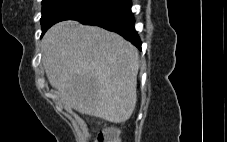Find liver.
I'll return each instance as SVG.
<instances>
[{"label": "liver", "mask_w": 227, "mask_h": 142, "mask_svg": "<svg viewBox=\"0 0 227 142\" xmlns=\"http://www.w3.org/2000/svg\"><path fill=\"white\" fill-rule=\"evenodd\" d=\"M42 55L48 81L66 107L112 123L131 117L137 100L139 53L123 37L62 21L44 35Z\"/></svg>", "instance_id": "6515ba94"}]
</instances>
